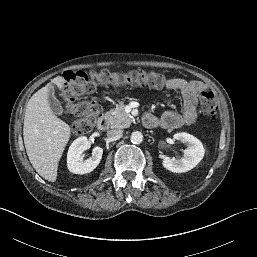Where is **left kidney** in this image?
<instances>
[{
	"label": "left kidney",
	"mask_w": 257,
	"mask_h": 257,
	"mask_svg": "<svg viewBox=\"0 0 257 257\" xmlns=\"http://www.w3.org/2000/svg\"><path fill=\"white\" fill-rule=\"evenodd\" d=\"M174 139L187 145L180 159L164 157L162 165L174 173H184L193 169L204 157L205 149L200 140L189 133L181 132L174 135Z\"/></svg>",
	"instance_id": "1"
}]
</instances>
